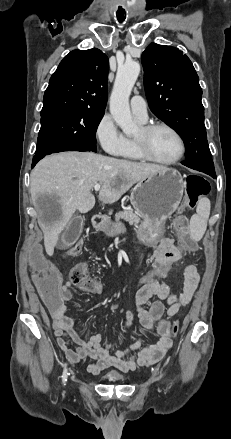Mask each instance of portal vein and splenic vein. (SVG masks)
I'll use <instances>...</instances> for the list:
<instances>
[{"label":"portal vein and splenic vein","mask_w":231,"mask_h":439,"mask_svg":"<svg viewBox=\"0 0 231 439\" xmlns=\"http://www.w3.org/2000/svg\"><path fill=\"white\" fill-rule=\"evenodd\" d=\"M100 188H101V184H95V185H94V189H95V191H99Z\"/></svg>","instance_id":"1"}]
</instances>
